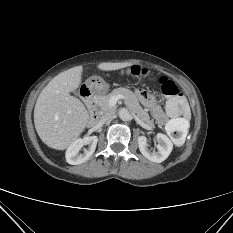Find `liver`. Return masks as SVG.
<instances>
[{"mask_svg":"<svg viewBox=\"0 0 233 233\" xmlns=\"http://www.w3.org/2000/svg\"><path fill=\"white\" fill-rule=\"evenodd\" d=\"M131 63H100L103 71L119 70ZM82 66L55 76L41 91L34 108V124L38 136L47 146L64 150L85 130L89 113L85 105L70 93L81 84Z\"/></svg>","mask_w":233,"mask_h":233,"instance_id":"6515ba94","label":"liver"}]
</instances>
